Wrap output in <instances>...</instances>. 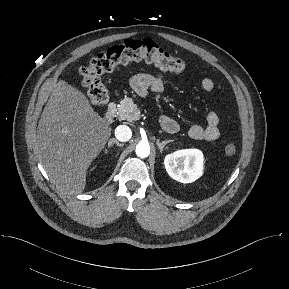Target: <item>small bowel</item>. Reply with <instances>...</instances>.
I'll use <instances>...</instances> for the list:
<instances>
[{
	"label": "small bowel",
	"instance_id": "obj_1",
	"mask_svg": "<svg viewBox=\"0 0 289 289\" xmlns=\"http://www.w3.org/2000/svg\"><path fill=\"white\" fill-rule=\"evenodd\" d=\"M166 77L162 73L156 74H138L131 80L133 90L141 97L149 93H160L164 90ZM201 87L205 91H211L214 88V82L211 78H204L201 81ZM219 116L214 111L206 113V125L192 124L188 129L191 138L197 140L214 141L219 138ZM161 126L168 133H175L179 129L178 123L169 116L161 117Z\"/></svg>",
	"mask_w": 289,
	"mask_h": 289
}]
</instances>
